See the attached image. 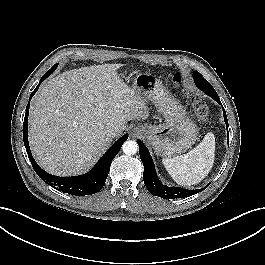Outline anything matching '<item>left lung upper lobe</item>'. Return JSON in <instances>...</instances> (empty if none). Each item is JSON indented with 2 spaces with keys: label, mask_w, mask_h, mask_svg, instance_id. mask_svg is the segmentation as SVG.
Returning <instances> with one entry per match:
<instances>
[{
  "label": "left lung upper lobe",
  "mask_w": 265,
  "mask_h": 265,
  "mask_svg": "<svg viewBox=\"0 0 265 265\" xmlns=\"http://www.w3.org/2000/svg\"><path fill=\"white\" fill-rule=\"evenodd\" d=\"M193 76L203 77L199 72H193Z\"/></svg>",
  "instance_id": "1"
}]
</instances>
